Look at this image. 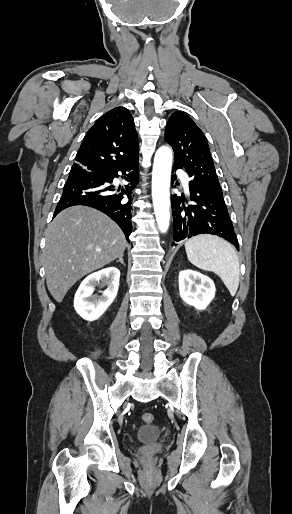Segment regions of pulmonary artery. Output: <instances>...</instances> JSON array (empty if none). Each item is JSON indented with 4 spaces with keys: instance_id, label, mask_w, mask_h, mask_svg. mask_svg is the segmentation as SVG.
Listing matches in <instances>:
<instances>
[{
    "instance_id": "pulmonary-artery-1",
    "label": "pulmonary artery",
    "mask_w": 292,
    "mask_h": 514,
    "mask_svg": "<svg viewBox=\"0 0 292 514\" xmlns=\"http://www.w3.org/2000/svg\"><path fill=\"white\" fill-rule=\"evenodd\" d=\"M183 180H184V184H185L186 186H188L189 179L187 178V176H186V175H183Z\"/></svg>"
}]
</instances>
